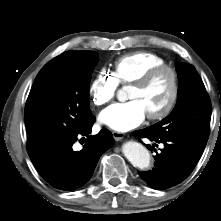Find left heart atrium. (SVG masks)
I'll list each match as a JSON object with an SVG mask.
<instances>
[{
    "mask_svg": "<svg viewBox=\"0 0 221 221\" xmlns=\"http://www.w3.org/2000/svg\"><path fill=\"white\" fill-rule=\"evenodd\" d=\"M146 112L138 100L116 103L103 110L99 115L101 124L116 131H129L145 120Z\"/></svg>",
    "mask_w": 221,
    "mask_h": 221,
    "instance_id": "39dd6f15",
    "label": "left heart atrium"
}]
</instances>
